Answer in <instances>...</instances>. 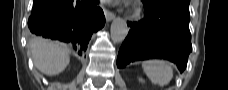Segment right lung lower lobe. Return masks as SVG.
I'll list each match as a JSON object with an SVG mask.
<instances>
[{"mask_svg": "<svg viewBox=\"0 0 228 90\" xmlns=\"http://www.w3.org/2000/svg\"><path fill=\"white\" fill-rule=\"evenodd\" d=\"M99 0H34L28 29L34 35L71 44L82 55L93 34L105 24Z\"/></svg>", "mask_w": 228, "mask_h": 90, "instance_id": "1", "label": "right lung lower lobe"}]
</instances>
